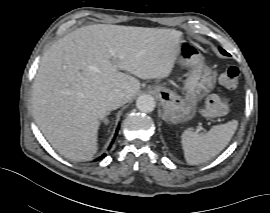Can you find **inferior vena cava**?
I'll return each instance as SVG.
<instances>
[{"mask_svg":"<svg viewBox=\"0 0 270 213\" xmlns=\"http://www.w3.org/2000/svg\"><path fill=\"white\" fill-rule=\"evenodd\" d=\"M109 101L116 106H121L127 102L126 95L121 90H114L109 95Z\"/></svg>","mask_w":270,"mask_h":213,"instance_id":"1","label":"inferior vena cava"}]
</instances>
